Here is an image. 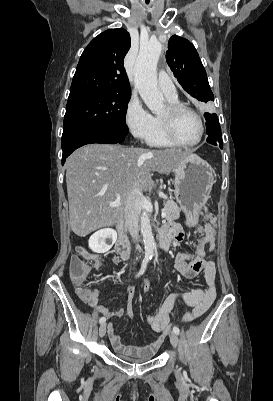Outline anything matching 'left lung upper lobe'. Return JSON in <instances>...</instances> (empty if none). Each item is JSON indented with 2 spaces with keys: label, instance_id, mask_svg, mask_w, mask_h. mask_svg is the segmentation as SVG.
Listing matches in <instances>:
<instances>
[{
  "label": "left lung upper lobe",
  "instance_id": "obj_1",
  "mask_svg": "<svg viewBox=\"0 0 273 401\" xmlns=\"http://www.w3.org/2000/svg\"><path fill=\"white\" fill-rule=\"evenodd\" d=\"M168 48L166 61L183 89L198 101H213L206 71L193 44L173 35Z\"/></svg>",
  "mask_w": 273,
  "mask_h": 401
}]
</instances>
